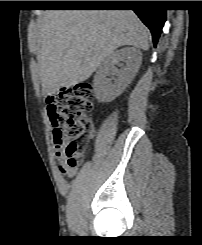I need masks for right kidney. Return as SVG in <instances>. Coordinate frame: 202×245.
I'll return each instance as SVG.
<instances>
[{
	"label": "right kidney",
	"mask_w": 202,
	"mask_h": 245,
	"mask_svg": "<svg viewBox=\"0 0 202 245\" xmlns=\"http://www.w3.org/2000/svg\"><path fill=\"white\" fill-rule=\"evenodd\" d=\"M120 61L125 62L126 66L117 69L115 65ZM141 62L142 53L133 47L116 50L107 56L100 64L93 80V89L98 101L110 102L119 96L135 77Z\"/></svg>",
	"instance_id": "ca27d5eb"
}]
</instances>
